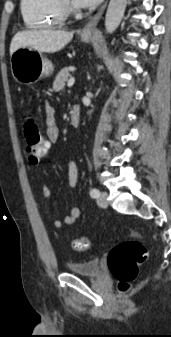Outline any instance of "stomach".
I'll use <instances>...</instances> for the list:
<instances>
[{
    "instance_id": "0dacf381",
    "label": "stomach",
    "mask_w": 171,
    "mask_h": 337,
    "mask_svg": "<svg viewBox=\"0 0 171 337\" xmlns=\"http://www.w3.org/2000/svg\"><path fill=\"white\" fill-rule=\"evenodd\" d=\"M91 35H82L84 42L91 40ZM13 78L24 85H30L43 77L52 75L54 66L41 52L30 47H20L10 59Z\"/></svg>"
}]
</instances>
